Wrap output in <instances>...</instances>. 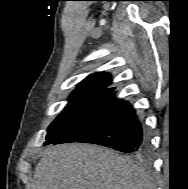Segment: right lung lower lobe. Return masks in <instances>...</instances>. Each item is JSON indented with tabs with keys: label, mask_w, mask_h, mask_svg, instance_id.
<instances>
[{
	"label": "right lung lower lobe",
	"mask_w": 188,
	"mask_h": 189,
	"mask_svg": "<svg viewBox=\"0 0 188 189\" xmlns=\"http://www.w3.org/2000/svg\"><path fill=\"white\" fill-rule=\"evenodd\" d=\"M84 142L103 145L124 153L147 151V130L128 101L107 94L87 110L52 144ZM50 143V144H51Z\"/></svg>",
	"instance_id": "right-lung-lower-lobe-1"
}]
</instances>
